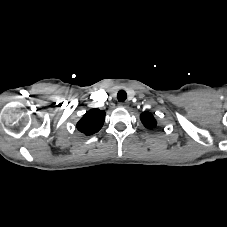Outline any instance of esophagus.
I'll use <instances>...</instances> for the list:
<instances>
[{
  "instance_id": "esophagus-1",
  "label": "esophagus",
  "mask_w": 227,
  "mask_h": 227,
  "mask_svg": "<svg viewBox=\"0 0 227 227\" xmlns=\"http://www.w3.org/2000/svg\"><path fill=\"white\" fill-rule=\"evenodd\" d=\"M119 106L120 107H127V105L125 103H123V102L119 103Z\"/></svg>"
}]
</instances>
